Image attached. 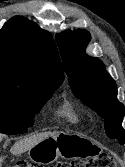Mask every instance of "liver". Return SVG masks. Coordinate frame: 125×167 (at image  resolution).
<instances>
[{
  "instance_id": "1",
  "label": "liver",
  "mask_w": 125,
  "mask_h": 167,
  "mask_svg": "<svg viewBox=\"0 0 125 167\" xmlns=\"http://www.w3.org/2000/svg\"><path fill=\"white\" fill-rule=\"evenodd\" d=\"M60 132H41L34 134L32 136L25 137L19 141H17L12 147L10 152L13 155H19L23 152L29 151L33 146H35L40 141L44 140L45 138H48L50 136H55L59 134ZM4 135L0 134V140H2ZM3 157H0V167L1 163L3 161Z\"/></svg>"
}]
</instances>
